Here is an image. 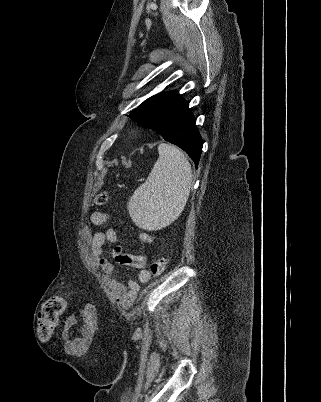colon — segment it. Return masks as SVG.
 Masks as SVG:
<instances>
[{
  "instance_id": "colon-1",
  "label": "colon",
  "mask_w": 321,
  "mask_h": 402,
  "mask_svg": "<svg viewBox=\"0 0 321 402\" xmlns=\"http://www.w3.org/2000/svg\"><path fill=\"white\" fill-rule=\"evenodd\" d=\"M108 201V194L106 192L98 193L94 200L93 205L104 206ZM167 266V258L161 256L156 258L150 264V272L153 276H161ZM66 308V302L63 297L55 295L50 297L42 307L40 316L38 318L37 331L41 338H50L57 326L58 320L62 316Z\"/></svg>"
}]
</instances>
